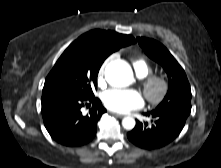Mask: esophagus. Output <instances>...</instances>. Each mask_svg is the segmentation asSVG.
Returning <instances> with one entry per match:
<instances>
[{"label":"esophagus","mask_w":221,"mask_h":168,"mask_svg":"<svg viewBox=\"0 0 221 168\" xmlns=\"http://www.w3.org/2000/svg\"><path fill=\"white\" fill-rule=\"evenodd\" d=\"M113 116H116L118 118H122L124 117L122 114H118V113H115V112H110Z\"/></svg>","instance_id":"esophagus-1"}]
</instances>
